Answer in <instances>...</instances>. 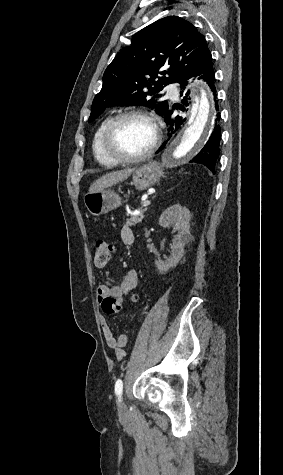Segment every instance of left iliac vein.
Masks as SVG:
<instances>
[{
    "label": "left iliac vein",
    "instance_id": "4c4485c4",
    "mask_svg": "<svg viewBox=\"0 0 283 475\" xmlns=\"http://www.w3.org/2000/svg\"><path fill=\"white\" fill-rule=\"evenodd\" d=\"M118 406H119V410H120V412L122 413V416H123V415H124V413H123V410H124V401H123V398H121V399L119 400Z\"/></svg>",
    "mask_w": 283,
    "mask_h": 475
}]
</instances>
